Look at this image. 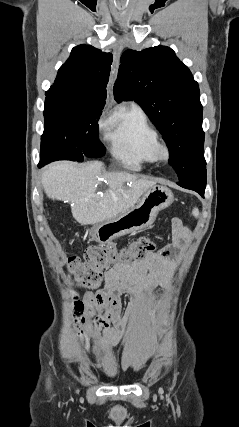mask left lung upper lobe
I'll return each mask as SVG.
<instances>
[{"label": "left lung upper lobe", "mask_w": 239, "mask_h": 427, "mask_svg": "<svg viewBox=\"0 0 239 427\" xmlns=\"http://www.w3.org/2000/svg\"><path fill=\"white\" fill-rule=\"evenodd\" d=\"M113 92L137 101L161 132L178 180L206 166L199 86L171 48L125 51Z\"/></svg>", "instance_id": "left-lung-upper-lobe-1"}]
</instances>
